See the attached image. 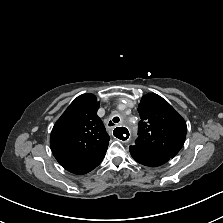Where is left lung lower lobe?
I'll list each match as a JSON object with an SVG mask.
<instances>
[{"instance_id":"left-lung-lower-lobe-1","label":"left lung lower lobe","mask_w":223,"mask_h":223,"mask_svg":"<svg viewBox=\"0 0 223 223\" xmlns=\"http://www.w3.org/2000/svg\"><path fill=\"white\" fill-rule=\"evenodd\" d=\"M129 150L135 161L148 167L160 166L170 159L167 156L147 151L137 146H130Z\"/></svg>"}]
</instances>
